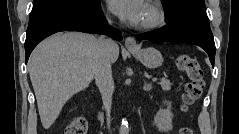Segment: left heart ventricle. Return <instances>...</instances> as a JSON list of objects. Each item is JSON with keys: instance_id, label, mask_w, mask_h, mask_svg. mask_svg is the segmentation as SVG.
Returning <instances> with one entry per match:
<instances>
[{"instance_id": "left-heart-ventricle-1", "label": "left heart ventricle", "mask_w": 239, "mask_h": 134, "mask_svg": "<svg viewBox=\"0 0 239 134\" xmlns=\"http://www.w3.org/2000/svg\"><path fill=\"white\" fill-rule=\"evenodd\" d=\"M149 17H150V12H149L148 8L146 7L141 23L147 21L149 19Z\"/></svg>"}]
</instances>
